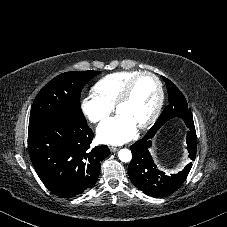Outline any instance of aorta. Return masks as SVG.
Instances as JSON below:
<instances>
[{"instance_id":"aorta-1","label":"aorta","mask_w":227,"mask_h":227,"mask_svg":"<svg viewBox=\"0 0 227 227\" xmlns=\"http://www.w3.org/2000/svg\"><path fill=\"white\" fill-rule=\"evenodd\" d=\"M118 157L122 162H130L132 159V153L130 150L128 149H121L118 152Z\"/></svg>"}]
</instances>
